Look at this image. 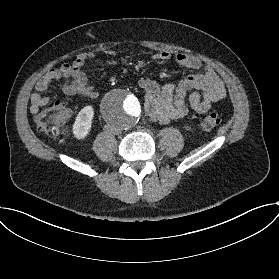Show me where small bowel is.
<instances>
[{
    "instance_id": "obj_1",
    "label": "small bowel",
    "mask_w": 279,
    "mask_h": 279,
    "mask_svg": "<svg viewBox=\"0 0 279 279\" xmlns=\"http://www.w3.org/2000/svg\"><path fill=\"white\" fill-rule=\"evenodd\" d=\"M94 58V52H83L71 63L62 64L44 74L30 96V112L38 114L50 103V99L42 95V92L60 81L61 89L66 95L97 99L99 91L90 83L86 73L88 63ZM172 58L180 67L198 73L187 76L178 84L160 86L148 77H142L139 81L145 95V112L152 120L161 124L183 118L190 110L206 113L213 102L224 99L227 94L225 84L219 75L198 57L187 53H177L173 56L167 50L152 55L155 62H166Z\"/></svg>"
}]
</instances>
